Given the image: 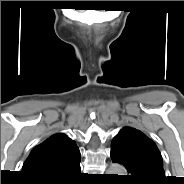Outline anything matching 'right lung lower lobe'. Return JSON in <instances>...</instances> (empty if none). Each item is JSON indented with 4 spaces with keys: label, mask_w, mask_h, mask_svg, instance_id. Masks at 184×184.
<instances>
[{
    "label": "right lung lower lobe",
    "mask_w": 184,
    "mask_h": 184,
    "mask_svg": "<svg viewBox=\"0 0 184 184\" xmlns=\"http://www.w3.org/2000/svg\"><path fill=\"white\" fill-rule=\"evenodd\" d=\"M81 174L80 160L72 164L67 171L56 179L34 180L35 184H74L76 178Z\"/></svg>",
    "instance_id": "obj_1"
}]
</instances>
